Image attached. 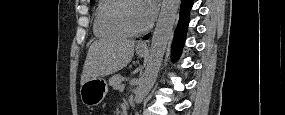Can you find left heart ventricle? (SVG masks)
Instances as JSON below:
<instances>
[{
	"mask_svg": "<svg viewBox=\"0 0 285 115\" xmlns=\"http://www.w3.org/2000/svg\"><path fill=\"white\" fill-rule=\"evenodd\" d=\"M125 19L128 24L134 29H140L144 27V23L141 18L140 4L138 2H132L125 10Z\"/></svg>",
	"mask_w": 285,
	"mask_h": 115,
	"instance_id": "1",
	"label": "left heart ventricle"
}]
</instances>
